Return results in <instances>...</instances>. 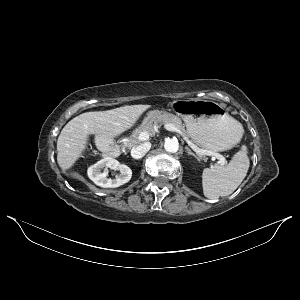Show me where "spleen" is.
I'll return each instance as SVG.
<instances>
[{
	"mask_svg": "<svg viewBox=\"0 0 300 300\" xmlns=\"http://www.w3.org/2000/svg\"><path fill=\"white\" fill-rule=\"evenodd\" d=\"M243 133L242 125L236 121ZM250 160L247 147L243 145L228 165H211L202 173V186L205 197L218 199L232 194L247 175Z\"/></svg>",
	"mask_w": 300,
	"mask_h": 300,
	"instance_id": "obj_1",
	"label": "spleen"
}]
</instances>
